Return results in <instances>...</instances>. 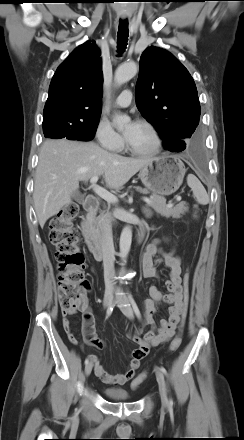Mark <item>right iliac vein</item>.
Returning a JSON list of instances; mask_svg holds the SVG:
<instances>
[{
	"mask_svg": "<svg viewBox=\"0 0 244 440\" xmlns=\"http://www.w3.org/2000/svg\"><path fill=\"white\" fill-rule=\"evenodd\" d=\"M112 300H113V289L109 288L105 292L104 302H103L104 307H108L111 304ZM92 367H93L92 363H88L85 366V375L86 376L90 375V373L92 371Z\"/></svg>",
	"mask_w": 244,
	"mask_h": 440,
	"instance_id": "1",
	"label": "right iliac vein"
}]
</instances>
